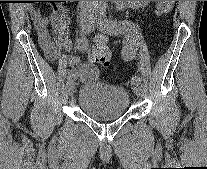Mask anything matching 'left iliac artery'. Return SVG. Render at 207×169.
Instances as JSON below:
<instances>
[{
  "label": "left iliac artery",
  "instance_id": "left-iliac-artery-1",
  "mask_svg": "<svg viewBox=\"0 0 207 169\" xmlns=\"http://www.w3.org/2000/svg\"><path fill=\"white\" fill-rule=\"evenodd\" d=\"M98 24L101 29L114 34L129 35V33H132L131 31H134V26H131L129 23L108 20L106 18V9L104 7L100 8L98 15ZM133 52L134 51L132 50L131 42H124L123 49H121V54H123L124 61H131ZM131 83L134 85L140 84L141 78L139 76H133L131 78Z\"/></svg>",
  "mask_w": 207,
  "mask_h": 169
}]
</instances>
